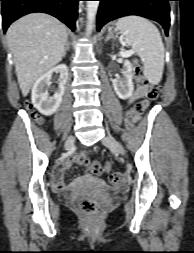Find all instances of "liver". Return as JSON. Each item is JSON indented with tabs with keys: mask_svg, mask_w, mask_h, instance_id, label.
<instances>
[{
	"mask_svg": "<svg viewBox=\"0 0 194 253\" xmlns=\"http://www.w3.org/2000/svg\"><path fill=\"white\" fill-rule=\"evenodd\" d=\"M66 26L45 13H31L15 21L7 31L18 83L23 96L33 84L63 58Z\"/></svg>",
	"mask_w": 194,
	"mask_h": 253,
	"instance_id": "1",
	"label": "liver"
}]
</instances>
